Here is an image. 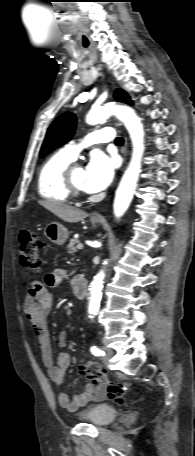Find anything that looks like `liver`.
I'll list each match as a JSON object with an SVG mask.
<instances>
[{
    "label": "liver",
    "instance_id": "6515ba94",
    "mask_svg": "<svg viewBox=\"0 0 195 456\" xmlns=\"http://www.w3.org/2000/svg\"><path fill=\"white\" fill-rule=\"evenodd\" d=\"M38 203L65 222L77 223L88 216L87 212L61 202L47 200Z\"/></svg>",
    "mask_w": 195,
    "mask_h": 456
}]
</instances>
